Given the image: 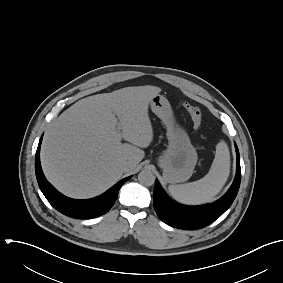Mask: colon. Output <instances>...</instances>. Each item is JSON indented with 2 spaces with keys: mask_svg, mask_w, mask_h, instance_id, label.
Instances as JSON below:
<instances>
[{
  "mask_svg": "<svg viewBox=\"0 0 283 283\" xmlns=\"http://www.w3.org/2000/svg\"><path fill=\"white\" fill-rule=\"evenodd\" d=\"M184 107L186 108L187 112L189 113L192 121H193V125L196 129L200 128L201 123H202V112L201 110L197 107L194 106L190 103H184Z\"/></svg>",
  "mask_w": 283,
  "mask_h": 283,
  "instance_id": "5ec220e1",
  "label": "colon"
}]
</instances>
